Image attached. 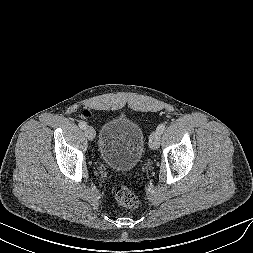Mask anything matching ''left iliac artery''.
<instances>
[{
	"mask_svg": "<svg viewBox=\"0 0 253 253\" xmlns=\"http://www.w3.org/2000/svg\"><path fill=\"white\" fill-rule=\"evenodd\" d=\"M164 130H165V124H159L157 127V131L159 133H163Z\"/></svg>",
	"mask_w": 253,
	"mask_h": 253,
	"instance_id": "1",
	"label": "left iliac artery"
}]
</instances>
